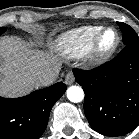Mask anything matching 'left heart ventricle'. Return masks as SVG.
<instances>
[{"label":"left heart ventricle","instance_id":"b2bd125f","mask_svg":"<svg viewBox=\"0 0 139 139\" xmlns=\"http://www.w3.org/2000/svg\"><path fill=\"white\" fill-rule=\"evenodd\" d=\"M116 40V35L113 31L106 32L100 41V48L106 50L110 48Z\"/></svg>","mask_w":139,"mask_h":139}]
</instances>
